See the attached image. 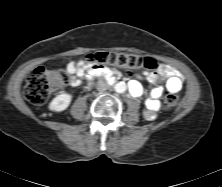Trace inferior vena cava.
Returning <instances> with one entry per match:
<instances>
[{
  "label": "inferior vena cava",
  "instance_id": "1",
  "mask_svg": "<svg viewBox=\"0 0 222 187\" xmlns=\"http://www.w3.org/2000/svg\"><path fill=\"white\" fill-rule=\"evenodd\" d=\"M108 84L105 79L99 80L97 84L98 91L102 92L105 88H107Z\"/></svg>",
  "mask_w": 222,
  "mask_h": 187
}]
</instances>
